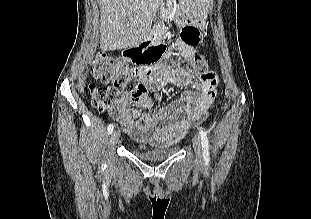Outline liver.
Masks as SVG:
<instances>
[{
    "label": "liver",
    "instance_id": "obj_1",
    "mask_svg": "<svg viewBox=\"0 0 311 219\" xmlns=\"http://www.w3.org/2000/svg\"><path fill=\"white\" fill-rule=\"evenodd\" d=\"M162 0H99L101 10L100 48L113 51L145 41ZM210 0H179L194 18L203 19Z\"/></svg>",
    "mask_w": 311,
    "mask_h": 219
}]
</instances>
